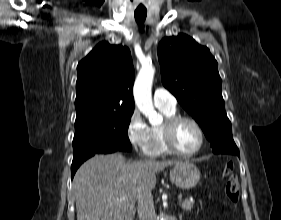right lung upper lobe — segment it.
<instances>
[{"label":"right lung upper lobe","instance_id":"obj_1","mask_svg":"<svg viewBox=\"0 0 281 220\" xmlns=\"http://www.w3.org/2000/svg\"><path fill=\"white\" fill-rule=\"evenodd\" d=\"M77 71L76 118L134 111V69L127 47L101 42Z\"/></svg>","mask_w":281,"mask_h":220}]
</instances>
